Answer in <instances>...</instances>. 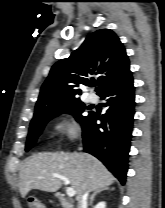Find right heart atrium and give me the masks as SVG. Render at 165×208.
Returning <instances> with one entry per match:
<instances>
[{"instance_id": "right-heart-atrium-1", "label": "right heart atrium", "mask_w": 165, "mask_h": 208, "mask_svg": "<svg viewBox=\"0 0 165 208\" xmlns=\"http://www.w3.org/2000/svg\"><path fill=\"white\" fill-rule=\"evenodd\" d=\"M55 129L72 138L77 134V127L71 117H64L55 127Z\"/></svg>"}]
</instances>
